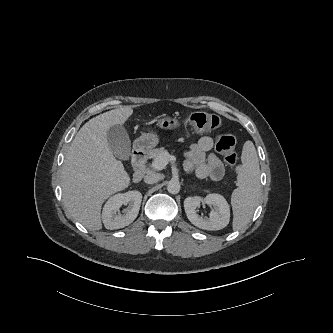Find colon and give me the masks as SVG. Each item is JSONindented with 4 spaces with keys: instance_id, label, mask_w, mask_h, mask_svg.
Listing matches in <instances>:
<instances>
[{
    "instance_id": "5ec220e1",
    "label": "colon",
    "mask_w": 333,
    "mask_h": 333,
    "mask_svg": "<svg viewBox=\"0 0 333 333\" xmlns=\"http://www.w3.org/2000/svg\"><path fill=\"white\" fill-rule=\"evenodd\" d=\"M188 125L196 131H212L217 130L221 126V121L218 116L195 112L187 119ZM215 148L219 152L224 161L233 166L237 162L236 139L230 132H224L216 137Z\"/></svg>"
}]
</instances>
